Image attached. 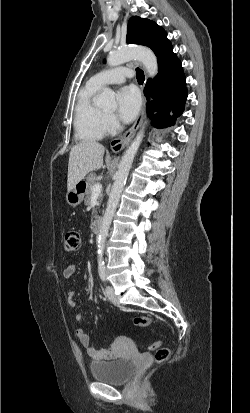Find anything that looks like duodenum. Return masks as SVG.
<instances>
[{"instance_id":"obj_1","label":"duodenum","mask_w":250,"mask_h":413,"mask_svg":"<svg viewBox=\"0 0 250 413\" xmlns=\"http://www.w3.org/2000/svg\"><path fill=\"white\" fill-rule=\"evenodd\" d=\"M102 223H103L102 218H96V219L92 222V225H91V230H92V232L95 233V234L98 233V232L100 231V229H101Z\"/></svg>"}]
</instances>
